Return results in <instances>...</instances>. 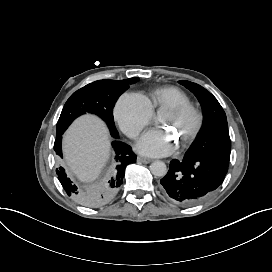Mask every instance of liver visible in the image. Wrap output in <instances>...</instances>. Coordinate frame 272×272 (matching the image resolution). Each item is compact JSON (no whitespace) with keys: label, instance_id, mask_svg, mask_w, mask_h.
Returning <instances> with one entry per match:
<instances>
[{"label":"liver","instance_id":"liver-1","mask_svg":"<svg viewBox=\"0 0 272 272\" xmlns=\"http://www.w3.org/2000/svg\"><path fill=\"white\" fill-rule=\"evenodd\" d=\"M63 151L68 173L82 183H92L110 157L106 125L94 115L79 117L64 135Z\"/></svg>","mask_w":272,"mask_h":272}]
</instances>
